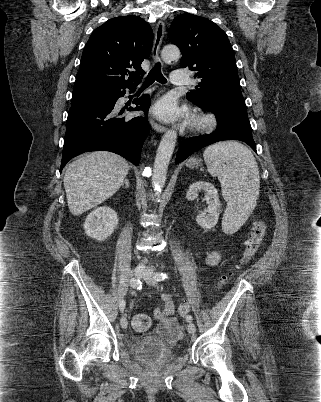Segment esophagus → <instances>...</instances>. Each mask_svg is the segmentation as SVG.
Wrapping results in <instances>:
<instances>
[{
    "instance_id": "34e87169",
    "label": "esophagus",
    "mask_w": 321,
    "mask_h": 402,
    "mask_svg": "<svg viewBox=\"0 0 321 402\" xmlns=\"http://www.w3.org/2000/svg\"><path fill=\"white\" fill-rule=\"evenodd\" d=\"M164 30V23L162 21H159L156 25L154 43L152 47V58L154 61H159V52L164 37ZM150 122L154 130H156L157 132L163 133L166 131V127L155 122L154 119L151 118Z\"/></svg>"
}]
</instances>
